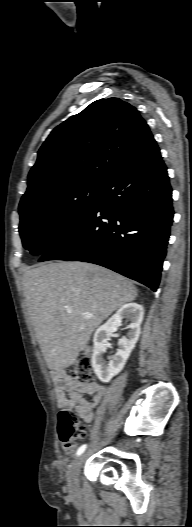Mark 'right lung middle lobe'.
Segmentation results:
<instances>
[{"label":"right lung middle lobe","mask_w":192,"mask_h":527,"mask_svg":"<svg viewBox=\"0 0 192 527\" xmlns=\"http://www.w3.org/2000/svg\"><path fill=\"white\" fill-rule=\"evenodd\" d=\"M104 185L82 183L19 205L23 246L43 255L80 224L97 203Z\"/></svg>","instance_id":"1"}]
</instances>
